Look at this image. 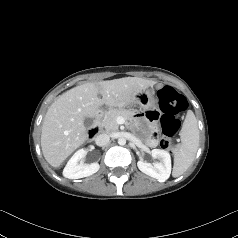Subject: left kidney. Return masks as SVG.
Returning <instances> with one entry per match:
<instances>
[{"mask_svg":"<svg viewBox=\"0 0 238 238\" xmlns=\"http://www.w3.org/2000/svg\"><path fill=\"white\" fill-rule=\"evenodd\" d=\"M151 154L154 159H158L159 161L151 164L140 160L137 163L139 170L159 181L167 180L171 174L170 154L161 149H153Z\"/></svg>","mask_w":238,"mask_h":238,"instance_id":"5707ae66","label":"left kidney"}]
</instances>
